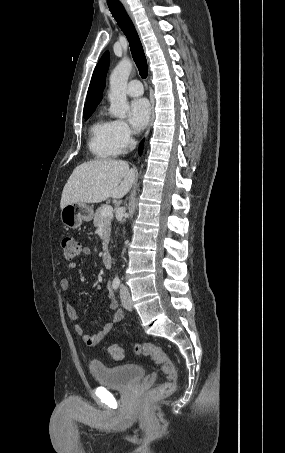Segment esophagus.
I'll list each match as a JSON object with an SVG mask.
<instances>
[{
    "instance_id": "34e87169",
    "label": "esophagus",
    "mask_w": 285,
    "mask_h": 453,
    "mask_svg": "<svg viewBox=\"0 0 285 453\" xmlns=\"http://www.w3.org/2000/svg\"><path fill=\"white\" fill-rule=\"evenodd\" d=\"M121 2L123 4L125 10L127 11L128 15L130 16L131 20L134 22V17H133V14L131 12V9H130L128 3L126 2V0H121ZM152 121H153V102H151V118H150V122H149V125H148L146 133H145V137H147L150 132V129L152 126Z\"/></svg>"
}]
</instances>
